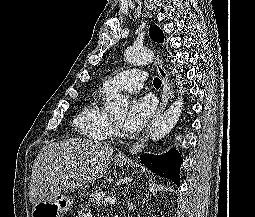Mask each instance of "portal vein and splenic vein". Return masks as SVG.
<instances>
[{
  "instance_id": "portal-vein-and-splenic-vein-1",
  "label": "portal vein and splenic vein",
  "mask_w": 255,
  "mask_h": 217,
  "mask_svg": "<svg viewBox=\"0 0 255 217\" xmlns=\"http://www.w3.org/2000/svg\"><path fill=\"white\" fill-rule=\"evenodd\" d=\"M105 201H106V203L114 204L116 202V197L115 196L107 197V198H105Z\"/></svg>"
}]
</instances>
